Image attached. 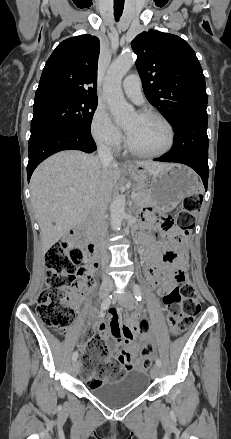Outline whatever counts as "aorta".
Returning a JSON list of instances; mask_svg holds the SVG:
<instances>
[{
	"instance_id": "1",
	"label": "aorta",
	"mask_w": 231,
	"mask_h": 439,
	"mask_svg": "<svg viewBox=\"0 0 231 439\" xmlns=\"http://www.w3.org/2000/svg\"><path fill=\"white\" fill-rule=\"evenodd\" d=\"M134 62L133 53L122 54L112 62L106 74L103 87L104 97L117 123L127 121L134 113L133 107L126 103L121 87L122 78ZM110 212L111 227L114 231H118L121 229L125 216V197L123 195H118L113 200Z\"/></svg>"
}]
</instances>
